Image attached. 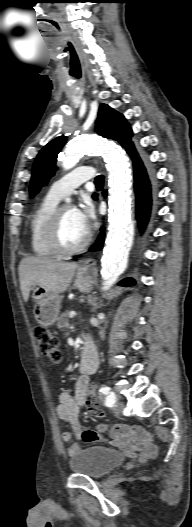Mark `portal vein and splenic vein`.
<instances>
[{
    "label": "portal vein and splenic vein",
    "instance_id": "obj_1",
    "mask_svg": "<svg viewBox=\"0 0 192 527\" xmlns=\"http://www.w3.org/2000/svg\"><path fill=\"white\" fill-rule=\"evenodd\" d=\"M76 316V313L74 311H71L69 313V318H74Z\"/></svg>",
    "mask_w": 192,
    "mask_h": 527
}]
</instances>
